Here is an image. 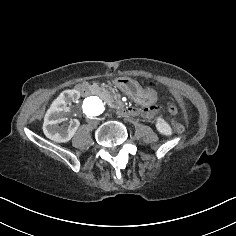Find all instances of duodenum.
Segmentation results:
<instances>
[{"label":"duodenum","instance_id":"1","mask_svg":"<svg viewBox=\"0 0 236 236\" xmlns=\"http://www.w3.org/2000/svg\"><path fill=\"white\" fill-rule=\"evenodd\" d=\"M78 91L82 96H88V95L91 94V88L87 84L80 85L78 87ZM120 112L122 114L129 115V116L135 114V110L130 108V107L123 108V109L120 110Z\"/></svg>","mask_w":236,"mask_h":236}]
</instances>
